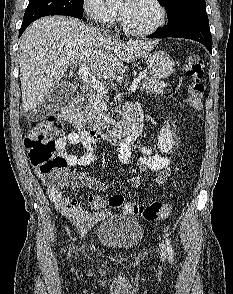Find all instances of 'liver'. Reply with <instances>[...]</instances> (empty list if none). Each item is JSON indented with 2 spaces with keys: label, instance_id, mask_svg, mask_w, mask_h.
Listing matches in <instances>:
<instances>
[{
  "label": "liver",
  "instance_id": "obj_1",
  "mask_svg": "<svg viewBox=\"0 0 233 294\" xmlns=\"http://www.w3.org/2000/svg\"><path fill=\"white\" fill-rule=\"evenodd\" d=\"M157 43L120 41L70 17L37 20L23 33L19 48L24 111L39 107L69 66L86 63L98 79H110L124 62L145 57Z\"/></svg>",
  "mask_w": 233,
  "mask_h": 294
}]
</instances>
